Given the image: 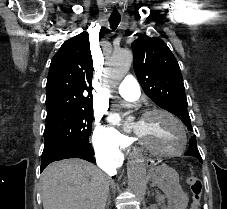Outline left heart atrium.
<instances>
[{"label": "left heart atrium", "mask_w": 227, "mask_h": 209, "mask_svg": "<svg viewBox=\"0 0 227 209\" xmlns=\"http://www.w3.org/2000/svg\"><path fill=\"white\" fill-rule=\"evenodd\" d=\"M112 120H113L114 122H116V121L118 120L117 116H116V115H112Z\"/></svg>", "instance_id": "39dd6f15"}]
</instances>
